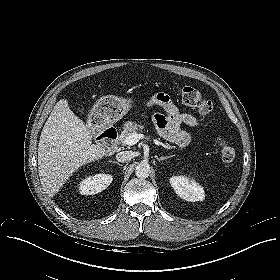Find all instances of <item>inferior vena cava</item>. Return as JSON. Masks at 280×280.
I'll return each mask as SVG.
<instances>
[{
	"label": "inferior vena cava",
	"mask_w": 280,
	"mask_h": 280,
	"mask_svg": "<svg viewBox=\"0 0 280 280\" xmlns=\"http://www.w3.org/2000/svg\"><path fill=\"white\" fill-rule=\"evenodd\" d=\"M134 157V153L132 151H122L117 153L116 159L119 162H128Z\"/></svg>",
	"instance_id": "602c4592"
}]
</instances>
